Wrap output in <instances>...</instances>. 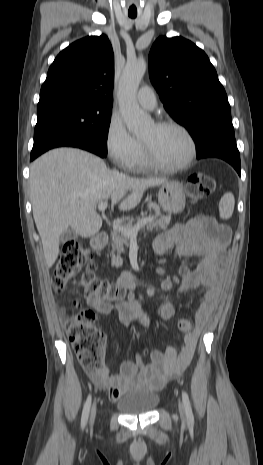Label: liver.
Segmentation results:
<instances>
[{"instance_id":"6515ba94","label":"liver","mask_w":263,"mask_h":465,"mask_svg":"<svg viewBox=\"0 0 263 465\" xmlns=\"http://www.w3.org/2000/svg\"><path fill=\"white\" fill-rule=\"evenodd\" d=\"M33 217L48 268L59 254V242L71 227L82 237L97 234L102 219L96 205L111 199L120 210L135 208L149 187L166 178H134L109 170L99 157L83 150L59 148L36 159L30 170Z\"/></svg>"}]
</instances>
